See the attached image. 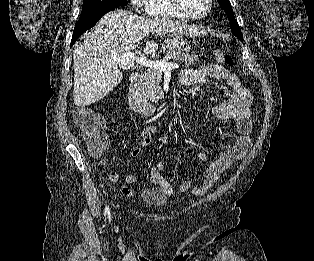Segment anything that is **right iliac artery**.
Returning <instances> with one entry per match:
<instances>
[{
    "label": "right iliac artery",
    "instance_id": "1",
    "mask_svg": "<svg viewBox=\"0 0 314 261\" xmlns=\"http://www.w3.org/2000/svg\"><path fill=\"white\" fill-rule=\"evenodd\" d=\"M105 214L107 215V218L109 219V220H111V214H110V209H109V207L106 205V207H105Z\"/></svg>",
    "mask_w": 314,
    "mask_h": 261
}]
</instances>
